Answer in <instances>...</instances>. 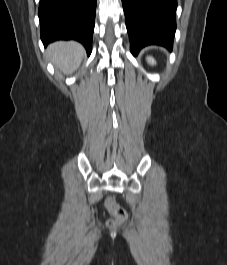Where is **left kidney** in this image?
Here are the masks:
<instances>
[{
    "label": "left kidney",
    "mask_w": 227,
    "mask_h": 265,
    "mask_svg": "<svg viewBox=\"0 0 227 265\" xmlns=\"http://www.w3.org/2000/svg\"><path fill=\"white\" fill-rule=\"evenodd\" d=\"M146 60H147V62H148L150 65H155V64H156L155 59H154L153 57H151V56H148V57L146 58Z\"/></svg>",
    "instance_id": "1"
}]
</instances>
